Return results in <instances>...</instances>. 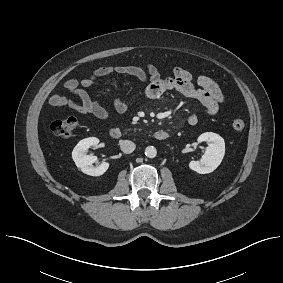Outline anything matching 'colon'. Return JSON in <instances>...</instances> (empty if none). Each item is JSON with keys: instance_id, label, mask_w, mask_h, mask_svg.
Returning a JSON list of instances; mask_svg holds the SVG:
<instances>
[{"instance_id": "5ec220e1", "label": "colon", "mask_w": 283, "mask_h": 283, "mask_svg": "<svg viewBox=\"0 0 283 283\" xmlns=\"http://www.w3.org/2000/svg\"><path fill=\"white\" fill-rule=\"evenodd\" d=\"M78 126V121L75 117L69 116L56 120L52 126L51 130L57 137L69 138L73 135L74 131ZM232 127L236 131H241L245 127V123L242 119H234L232 122Z\"/></svg>"}]
</instances>
